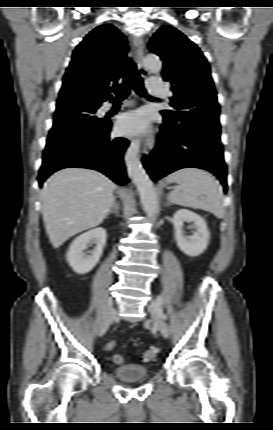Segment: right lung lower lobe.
Segmentation results:
<instances>
[{"label":"right lung lower lobe","instance_id":"obj_1","mask_svg":"<svg viewBox=\"0 0 273 430\" xmlns=\"http://www.w3.org/2000/svg\"><path fill=\"white\" fill-rule=\"evenodd\" d=\"M111 122L86 135L47 143L39 171V185L53 172L67 167H82L102 172L118 184L128 182L123 161L128 141L110 139Z\"/></svg>","mask_w":273,"mask_h":430}]
</instances>
